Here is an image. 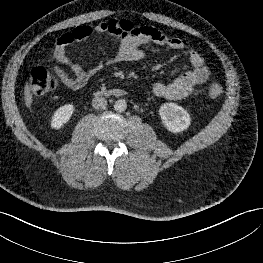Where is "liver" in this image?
<instances>
[{
  "label": "liver",
  "mask_w": 263,
  "mask_h": 263,
  "mask_svg": "<svg viewBox=\"0 0 263 263\" xmlns=\"http://www.w3.org/2000/svg\"><path fill=\"white\" fill-rule=\"evenodd\" d=\"M24 100H25V105L27 108H31L33 99H32V94H31V88L28 83H26L24 87Z\"/></svg>",
  "instance_id": "obj_1"
}]
</instances>
